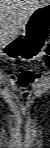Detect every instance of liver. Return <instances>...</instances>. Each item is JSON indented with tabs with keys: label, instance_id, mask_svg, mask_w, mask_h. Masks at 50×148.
I'll return each instance as SVG.
<instances>
[{
	"label": "liver",
	"instance_id": "1",
	"mask_svg": "<svg viewBox=\"0 0 50 148\" xmlns=\"http://www.w3.org/2000/svg\"><path fill=\"white\" fill-rule=\"evenodd\" d=\"M46 0H2L0 18V41L4 44L12 40L31 15L40 7L47 5Z\"/></svg>",
	"mask_w": 50,
	"mask_h": 148
}]
</instances>
